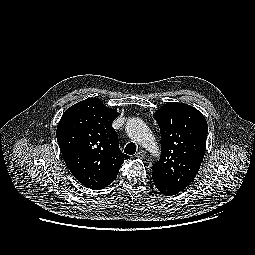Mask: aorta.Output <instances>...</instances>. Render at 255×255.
<instances>
[{
    "mask_svg": "<svg viewBox=\"0 0 255 255\" xmlns=\"http://www.w3.org/2000/svg\"><path fill=\"white\" fill-rule=\"evenodd\" d=\"M125 129L131 139L147 149L150 153H158V148L153 135L142 119L137 117L129 119Z\"/></svg>",
    "mask_w": 255,
    "mask_h": 255,
    "instance_id": "762f6f07",
    "label": "aorta"
}]
</instances>
